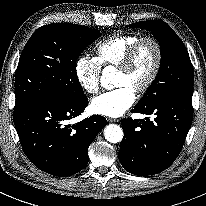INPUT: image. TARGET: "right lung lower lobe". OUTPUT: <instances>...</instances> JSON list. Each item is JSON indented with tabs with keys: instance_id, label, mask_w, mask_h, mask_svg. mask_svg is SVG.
<instances>
[{
	"instance_id": "98d812e1",
	"label": "right lung lower lobe",
	"mask_w": 206,
	"mask_h": 206,
	"mask_svg": "<svg viewBox=\"0 0 206 206\" xmlns=\"http://www.w3.org/2000/svg\"><path fill=\"white\" fill-rule=\"evenodd\" d=\"M87 105L86 96L74 101L44 99L14 112L22 149L37 168L54 176H70L87 165L88 147L107 120L94 115L66 124Z\"/></svg>"
}]
</instances>
